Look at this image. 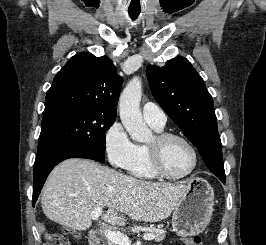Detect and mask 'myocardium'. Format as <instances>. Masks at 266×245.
<instances>
[{
  "label": "myocardium",
  "mask_w": 266,
  "mask_h": 245,
  "mask_svg": "<svg viewBox=\"0 0 266 245\" xmlns=\"http://www.w3.org/2000/svg\"><path fill=\"white\" fill-rule=\"evenodd\" d=\"M155 145L154 146H146L147 156L149 160V164L154 172V174L161 179L171 180V181H182L190 178L196 171L199 165V153L195 145L185 136L179 133H172L166 131L157 132L154 136ZM171 139H179L186 143L190 149L192 150L194 161L193 166L190 171L180 177H174L169 175L163 168L161 162V148L162 146Z\"/></svg>",
  "instance_id": "myocardium-1"
}]
</instances>
